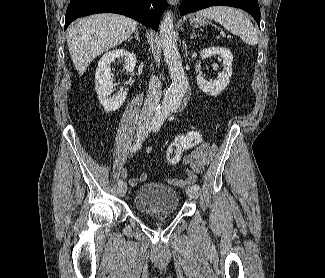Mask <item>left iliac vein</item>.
<instances>
[{"instance_id":"4c4485c4","label":"left iliac vein","mask_w":325,"mask_h":278,"mask_svg":"<svg viewBox=\"0 0 325 278\" xmlns=\"http://www.w3.org/2000/svg\"><path fill=\"white\" fill-rule=\"evenodd\" d=\"M186 193L189 197L193 199H197L199 197V192L198 190H195L193 187H187L186 188Z\"/></svg>"}]
</instances>
